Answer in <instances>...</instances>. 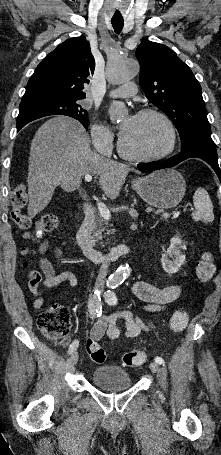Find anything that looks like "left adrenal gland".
I'll use <instances>...</instances> for the list:
<instances>
[{
    "label": "left adrenal gland",
    "mask_w": 221,
    "mask_h": 455,
    "mask_svg": "<svg viewBox=\"0 0 221 455\" xmlns=\"http://www.w3.org/2000/svg\"><path fill=\"white\" fill-rule=\"evenodd\" d=\"M156 225H157V222H156V224H155L152 228H154Z\"/></svg>",
    "instance_id": "1"
}]
</instances>
